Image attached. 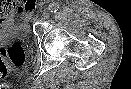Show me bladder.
I'll return each mask as SVG.
<instances>
[{
	"label": "bladder",
	"instance_id": "bladder-1",
	"mask_svg": "<svg viewBox=\"0 0 131 89\" xmlns=\"http://www.w3.org/2000/svg\"><path fill=\"white\" fill-rule=\"evenodd\" d=\"M25 33V29L17 22H12L10 25L0 26V40L4 35H18Z\"/></svg>",
	"mask_w": 131,
	"mask_h": 89
}]
</instances>
